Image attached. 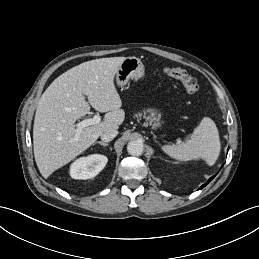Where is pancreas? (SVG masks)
<instances>
[{"label": "pancreas", "mask_w": 259, "mask_h": 259, "mask_svg": "<svg viewBox=\"0 0 259 259\" xmlns=\"http://www.w3.org/2000/svg\"><path fill=\"white\" fill-rule=\"evenodd\" d=\"M135 116H136L137 118H139V119H140V118H141V116H142V114H141V113H139V114H137V115H135ZM144 118H146L147 120H149V119H150L151 121L153 120L150 116H149V117L144 116Z\"/></svg>", "instance_id": "pancreas-1"}]
</instances>
